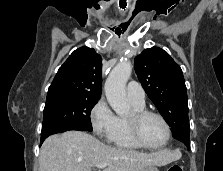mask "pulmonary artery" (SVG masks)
Returning <instances> with one entry per match:
<instances>
[{
	"label": "pulmonary artery",
	"mask_w": 223,
	"mask_h": 171,
	"mask_svg": "<svg viewBox=\"0 0 223 171\" xmlns=\"http://www.w3.org/2000/svg\"><path fill=\"white\" fill-rule=\"evenodd\" d=\"M127 97L134 103L141 105L145 104V91L138 82L131 81L128 83Z\"/></svg>",
	"instance_id": "pulmonary-artery-1"
}]
</instances>
